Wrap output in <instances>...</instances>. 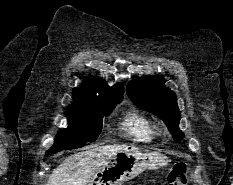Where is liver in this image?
Wrapping results in <instances>:
<instances>
[{
    "mask_svg": "<svg viewBox=\"0 0 233 185\" xmlns=\"http://www.w3.org/2000/svg\"><path fill=\"white\" fill-rule=\"evenodd\" d=\"M127 147L112 144L77 152L53 170L46 185H87L113 155Z\"/></svg>",
    "mask_w": 233,
    "mask_h": 185,
    "instance_id": "6515ba94",
    "label": "liver"
}]
</instances>
